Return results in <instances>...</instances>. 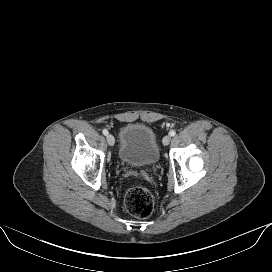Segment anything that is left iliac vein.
Segmentation results:
<instances>
[{"mask_svg":"<svg viewBox=\"0 0 272 272\" xmlns=\"http://www.w3.org/2000/svg\"><path fill=\"white\" fill-rule=\"evenodd\" d=\"M171 141V137L169 135L164 136L162 142L164 145H168Z\"/></svg>","mask_w":272,"mask_h":272,"instance_id":"obj_1","label":"left iliac vein"}]
</instances>
